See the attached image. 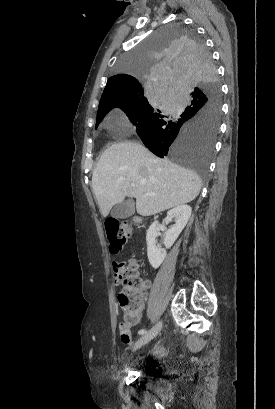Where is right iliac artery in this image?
I'll return each mask as SVG.
<instances>
[{
    "label": "right iliac artery",
    "instance_id": "82829eb1",
    "mask_svg": "<svg viewBox=\"0 0 275 409\" xmlns=\"http://www.w3.org/2000/svg\"><path fill=\"white\" fill-rule=\"evenodd\" d=\"M144 333H146L145 330H139V331H138V334H140V335H142V334H144Z\"/></svg>",
    "mask_w": 275,
    "mask_h": 409
}]
</instances>
